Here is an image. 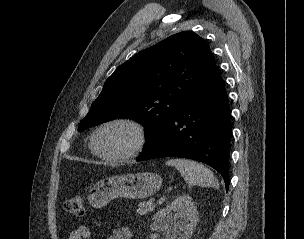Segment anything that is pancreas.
<instances>
[{
	"instance_id": "pancreas-1",
	"label": "pancreas",
	"mask_w": 304,
	"mask_h": 239,
	"mask_svg": "<svg viewBox=\"0 0 304 239\" xmlns=\"http://www.w3.org/2000/svg\"><path fill=\"white\" fill-rule=\"evenodd\" d=\"M155 208V205L152 201L142 202L138 205L137 213L139 215H146L148 212H152Z\"/></svg>"
}]
</instances>
